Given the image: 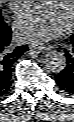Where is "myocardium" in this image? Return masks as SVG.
Here are the masks:
<instances>
[{
    "label": "myocardium",
    "mask_w": 74,
    "mask_h": 122,
    "mask_svg": "<svg viewBox=\"0 0 74 122\" xmlns=\"http://www.w3.org/2000/svg\"><path fill=\"white\" fill-rule=\"evenodd\" d=\"M71 22H74V1H72V14H71Z\"/></svg>",
    "instance_id": "myocardium-1"
}]
</instances>
